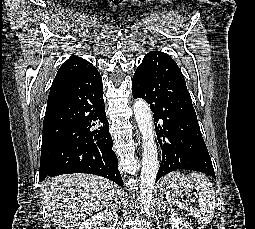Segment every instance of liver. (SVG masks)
Returning <instances> with one entry per match:
<instances>
[{
	"mask_svg": "<svg viewBox=\"0 0 255 229\" xmlns=\"http://www.w3.org/2000/svg\"><path fill=\"white\" fill-rule=\"evenodd\" d=\"M41 191L49 216L62 229H75L94 212L110 207L119 187L106 178L79 173L47 179Z\"/></svg>",
	"mask_w": 255,
	"mask_h": 229,
	"instance_id": "obj_1",
	"label": "liver"
}]
</instances>
